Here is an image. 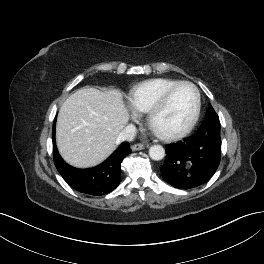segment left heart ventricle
<instances>
[{
	"label": "left heart ventricle",
	"instance_id": "obj_1",
	"mask_svg": "<svg viewBox=\"0 0 264 264\" xmlns=\"http://www.w3.org/2000/svg\"><path fill=\"white\" fill-rule=\"evenodd\" d=\"M196 96L192 87L182 85L171 94L166 106L155 116L153 125L162 132H174L184 127L195 108Z\"/></svg>",
	"mask_w": 264,
	"mask_h": 264
}]
</instances>
